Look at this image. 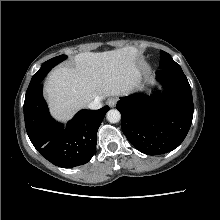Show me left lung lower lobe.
<instances>
[{"label":"left lung lower lobe","instance_id":"obj_1","mask_svg":"<svg viewBox=\"0 0 220 220\" xmlns=\"http://www.w3.org/2000/svg\"><path fill=\"white\" fill-rule=\"evenodd\" d=\"M156 77L164 87L162 92L150 97L133 94L116 105L126 138L148 155L177 148L190 129L194 111L191 87L182 69H161Z\"/></svg>","mask_w":220,"mask_h":220}]
</instances>
